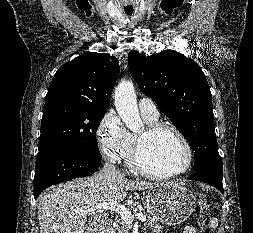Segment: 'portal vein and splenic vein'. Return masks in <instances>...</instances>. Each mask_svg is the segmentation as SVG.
<instances>
[{
	"mask_svg": "<svg viewBox=\"0 0 253 233\" xmlns=\"http://www.w3.org/2000/svg\"><path fill=\"white\" fill-rule=\"evenodd\" d=\"M104 210L115 211L119 214V216L126 222V224H132L134 220H140L142 222L146 221V216L143 214H132L129 209L125 206L116 204V203H108L102 202L90 209L81 210V214H93L95 212H100Z\"/></svg>",
	"mask_w": 253,
	"mask_h": 233,
	"instance_id": "18ae733b",
	"label": "portal vein and splenic vein"
}]
</instances>
